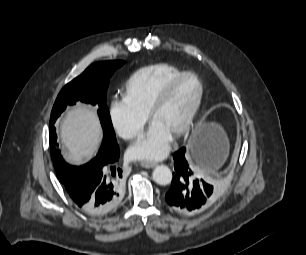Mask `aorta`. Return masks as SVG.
<instances>
[{
  "instance_id": "1",
  "label": "aorta",
  "mask_w": 306,
  "mask_h": 255,
  "mask_svg": "<svg viewBox=\"0 0 306 255\" xmlns=\"http://www.w3.org/2000/svg\"><path fill=\"white\" fill-rule=\"evenodd\" d=\"M153 180L159 185H168L172 181V171L165 165H158L152 173Z\"/></svg>"
}]
</instances>
